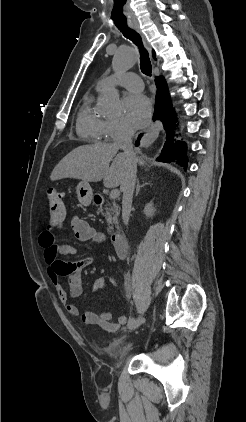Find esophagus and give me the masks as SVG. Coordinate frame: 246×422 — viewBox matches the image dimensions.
<instances>
[{"instance_id": "1", "label": "esophagus", "mask_w": 246, "mask_h": 422, "mask_svg": "<svg viewBox=\"0 0 246 422\" xmlns=\"http://www.w3.org/2000/svg\"><path fill=\"white\" fill-rule=\"evenodd\" d=\"M132 28L137 33L140 34V36L143 39L144 44L146 45V47L148 48V50H150V48L148 46V43L146 42L145 36L143 35V33H142L139 25L138 24H135V25L132 26ZM159 128H160V123L159 122L152 123L151 127L146 131V133H145V135L143 137L142 144L144 146L150 145L155 140V138L157 137V135L159 133Z\"/></svg>"}]
</instances>
